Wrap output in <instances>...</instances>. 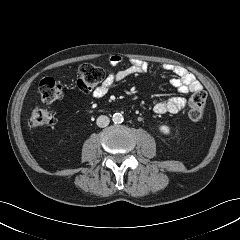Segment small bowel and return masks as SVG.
Returning <instances> with one entry per match:
<instances>
[{
	"label": "small bowel",
	"mask_w": 240,
	"mask_h": 240,
	"mask_svg": "<svg viewBox=\"0 0 240 240\" xmlns=\"http://www.w3.org/2000/svg\"><path fill=\"white\" fill-rule=\"evenodd\" d=\"M125 58L121 55L114 54L109 58V64L112 67L124 63ZM162 69L173 74L170 83L180 93L186 94L201 90L200 82L188 71L180 66L170 63L162 64ZM149 71V64L138 59L129 60V65L118 71H108L103 82L94 89L92 95L94 98H101L107 94L109 89L117 82H120L133 75H143ZM187 101L184 97L176 96L157 102L153 111L156 114L177 113L186 107Z\"/></svg>",
	"instance_id": "small-bowel-1"
}]
</instances>
